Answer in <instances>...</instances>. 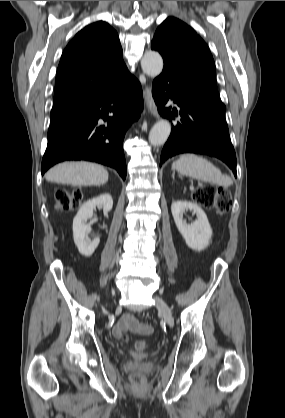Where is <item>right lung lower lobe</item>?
Here are the masks:
<instances>
[{"instance_id":"98d812e1","label":"right lung lower lobe","mask_w":285,"mask_h":418,"mask_svg":"<svg viewBox=\"0 0 285 418\" xmlns=\"http://www.w3.org/2000/svg\"><path fill=\"white\" fill-rule=\"evenodd\" d=\"M142 108L141 85L130 75L119 86L51 120L42 175L59 162L87 160L115 168L125 180L123 140ZM100 118L105 126H99Z\"/></svg>"}]
</instances>
